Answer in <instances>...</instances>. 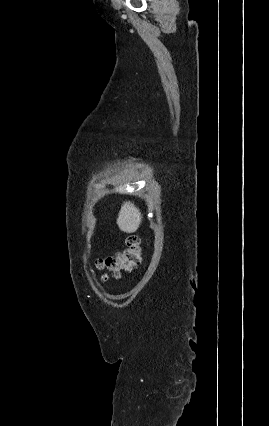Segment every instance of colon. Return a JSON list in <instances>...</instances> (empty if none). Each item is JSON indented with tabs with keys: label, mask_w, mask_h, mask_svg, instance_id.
I'll list each match as a JSON object with an SVG mask.
<instances>
[{
	"label": "colon",
	"mask_w": 269,
	"mask_h": 426,
	"mask_svg": "<svg viewBox=\"0 0 269 426\" xmlns=\"http://www.w3.org/2000/svg\"><path fill=\"white\" fill-rule=\"evenodd\" d=\"M141 247L137 236H129L126 239L124 250L114 255L99 259L96 268L103 272L102 278L108 279L110 276L119 278L123 272L132 270L140 263Z\"/></svg>",
	"instance_id": "obj_1"
}]
</instances>
